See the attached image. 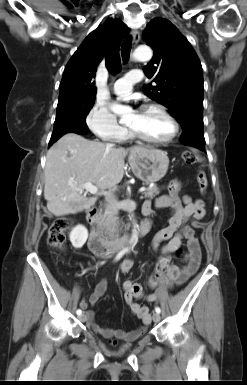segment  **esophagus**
Here are the masks:
<instances>
[{"label": "esophagus", "instance_id": "34e87169", "mask_svg": "<svg viewBox=\"0 0 247 385\" xmlns=\"http://www.w3.org/2000/svg\"><path fill=\"white\" fill-rule=\"evenodd\" d=\"M133 44L136 45L140 40V32L136 29L132 30Z\"/></svg>", "mask_w": 247, "mask_h": 385}]
</instances>
